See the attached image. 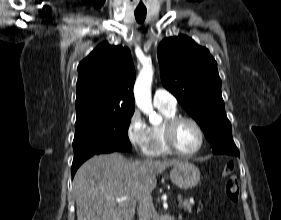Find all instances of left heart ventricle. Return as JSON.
<instances>
[{
    "label": "left heart ventricle",
    "mask_w": 281,
    "mask_h": 220,
    "mask_svg": "<svg viewBox=\"0 0 281 220\" xmlns=\"http://www.w3.org/2000/svg\"><path fill=\"white\" fill-rule=\"evenodd\" d=\"M199 133L194 125L189 122H181L175 130V142L182 151L194 150L199 144Z\"/></svg>",
    "instance_id": "b2bd125f"
}]
</instances>
